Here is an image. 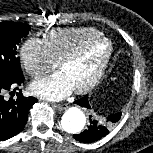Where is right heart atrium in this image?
I'll use <instances>...</instances> for the list:
<instances>
[{"label":"right heart atrium","mask_w":153,"mask_h":153,"mask_svg":"<svg viewBox=\"0 0 153 153\" xmlns=\"http://www.w3.org/2000/svg\"><path fill=\"white\" fill-rule=\"evenodd\" d=\"M20 58L25 71L34 78L45 75L57 66L45 42L35 37L22 44Z\"/></svg>","instance_id":"obj_1"}]
</instances>
